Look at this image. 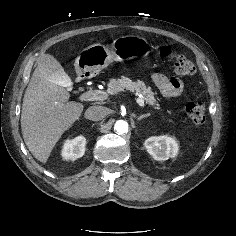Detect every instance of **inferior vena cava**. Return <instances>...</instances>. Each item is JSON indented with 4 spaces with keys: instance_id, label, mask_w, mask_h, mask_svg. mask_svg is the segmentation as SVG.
Listing matches in <instances>:
<instances>
[{
    "instance_id": "inferior-vena-cava-1",
    "label": "inferior vena cava",
    "mask_w": 236,
    "mask_h": 236,
    "mask_svg": "<svg viewBox=\"0 0 236 236\" xmlns=\"http://www.w3.org/2000/svg\"><path fill=\"white\" fill-rule=\"evenodd\" d=\"M106 115H107V109L106 107L103 106H91L85 112L86 118L93 121L102 120L106 117Z\"/></svg>"
}]
</instances>
